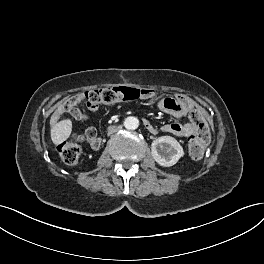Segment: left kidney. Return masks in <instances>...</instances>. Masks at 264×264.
I'll use <instances>...</instances> for the list:
<instances>
[{"mask_svg": "<svg viewBox=\"0 0 264 264\" xmlns=\"http://www.w3.org/2000/svg\"><path fill=\"white\" fill-rule=\"evenodd\" d=\"M151 154L160 166L170 167L184 156V150L174 137L162 136L153 140Z\"/></svg>", "mask_w": 264, "mask_h": 264, "instance_id": "5707ae66", "label": "left kidney"}]
</instances>
